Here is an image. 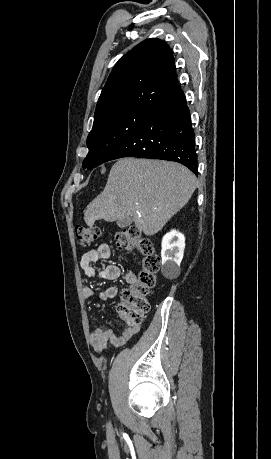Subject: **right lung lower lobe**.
<instances>
[{
	"mask_svg": "<svg viewBox=\"0 0 271 459\" xmlns=\"http://www.w3.org/2000/svg\"><path fill=\"white\" fill-rule=\"evenodd\" d=\"M122 157L176 161L198 174L195 133L183 92L138 127L106 162Z\"/></svg>",
	"mask_w": 271,
	"mask_h": 459,
	"instance_id": "obj_1",
	"label": "right lung lower lobe"
}]
</instances>
